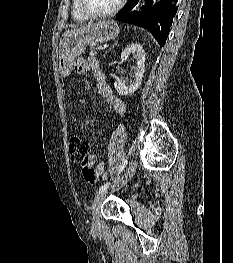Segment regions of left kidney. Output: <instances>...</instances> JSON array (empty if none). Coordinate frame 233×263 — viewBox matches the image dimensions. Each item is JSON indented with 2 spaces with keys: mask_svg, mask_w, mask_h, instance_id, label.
Listing matches in <instances>:
<instances>
[{
  "mask_svg": "<svg viewBox=\"0 0 233 263\" xmlns=\"http://www.w3.org/2000/svg\"><path fill=\"white\" fill-rule=\"evenodd\" d=\"M130 55L137 60L133 66L134 80L127 84L126 81L118 79L114 83V87L118 94L129 95L137 91L142 83V78L145 70V51L140 43H132L127 46L121 53V60L125 61Z\"/></svg>",
  "mask_w": 233,
  "mask_h": 263,
  "instance_id": "5707ae66",
  "label": "left kidney"
}]
</instances>
